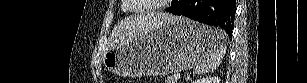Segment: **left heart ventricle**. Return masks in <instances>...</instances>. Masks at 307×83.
<instances>
[{"mask_svg":"<svg viewBox=\"0 0 307 83\" xmlns=\"http://www.w3.org/2000/svg\"><path fill=\"white\" fill-rule=\"evenodd\" d=\"M145 1H159L160 2V0H138V1H136L135 3H142V5H137L136 4V6L138 7V8H144V7H147V6H149L147 3H149V2H145Z\"/></svg>","mask_w":307,"mask_h":83,"instance_id":"left-heart-ventricle-1","label":"left heart ventricle"}]
</instances>
